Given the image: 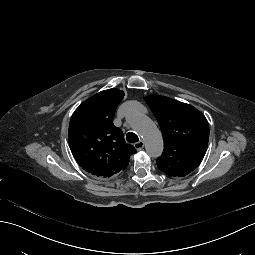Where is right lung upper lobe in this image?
Returning <instances> with one entry per match:
<instances>
[{
    "label": "right lung upper lobe",
    "instance_id": "obj_1",
    "mask_svg": "<svg viewBox=\"0 0 255 255\" xmlns=\"http://www.w3.org/2000/svg\"><path fill=\"white\" fill-rule=\"evenodd\" d=\"M123 91L108 89L84 101L73 113L68 141L72 154L86 172L100 178L124 170L135 148L125 143L123 132L113 124Z\"/></svg>",
    "mask_w": 255,
    "mask_h": 255
}]
</instances>
